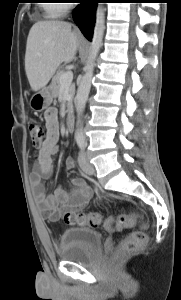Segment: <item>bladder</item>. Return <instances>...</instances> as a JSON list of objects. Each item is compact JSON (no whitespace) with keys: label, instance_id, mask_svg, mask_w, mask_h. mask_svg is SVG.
Returning a JSON list of instances; mask_svg holds the SVG:
<instances>
[{"label":"bladder","instance_id":"1","mask_svg":"<svg viewBox=\"0 0 181 300\" xmlns=\"http://www.w3.org/2000/svg\"><path fill=\"white\" fill-rule=\"evenodd\" d=\"M102 247V234L87 227L66 229L59 241L60 256L65 261H89Z\"/></svg>","mask_w":181,"mask_h":300}]
</instances>
